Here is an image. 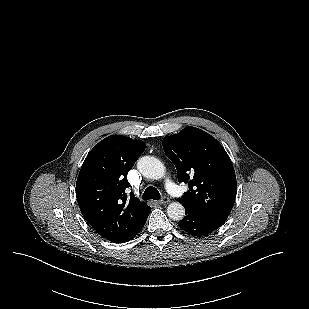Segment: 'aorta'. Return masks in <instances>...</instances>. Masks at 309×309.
Instances as JSON below:
<instances>
[{
  "label": "aorta",
  "instance_id": "762f6f07",
  "mask_svg": "<svg viewBox=\"0 0 309 309\" xmlns=\"http://www.w3.org/2000/svg\"><path fill=\"white\" fill-rule=\"evenodd\" d=\"M137 168L143 176L155 180L163 178L166 172L163 163L153 156L141 157L137 162ZM167 214L172 220L180 221L185 216V208L181 203L173 202L168 205Z\"/></svg>",
  "mask_w": 309,
  "mask_h": 309
}]
</instances>
